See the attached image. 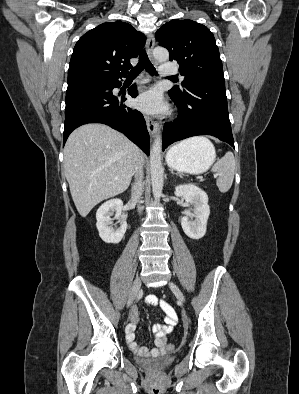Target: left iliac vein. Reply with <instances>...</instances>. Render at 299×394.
<instances>
[{"label": "left iliac vein", "mask_w": 299, "mask_h": 394, "mask_svg": "<svg viewBox=\"0 0 299 394\" xmlns=\"http://www.w3.org/2000/svg\"><path fill=\"white\" fill-rule=\"evenodd\" d=\"M169 287L171 288V290L174 292V294L176 295V297L180 301H182V302L185 301L184 296H183L181 290L177 287V285H175L173 282H170Z\"/></svg>", "instance_id": "4c4485c4"}]
</instances>
